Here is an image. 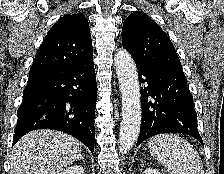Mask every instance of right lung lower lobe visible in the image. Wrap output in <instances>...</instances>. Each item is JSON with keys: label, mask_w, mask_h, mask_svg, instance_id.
<instances>
[{"label": "right lung lower lobe", "mask_w": 224, "mask_h": 174, "mask_svg": "<svg viewBox=\"0 0 224 174\" xmlns=\"http://www.w3.org/2000/svg\"><path fill=\"white\" fill-rule=\"evenodd\" d=\"M96 98L93 59L29 76L13 145L29 131L48 128L72 135L93 152Z\"/></svg>", "instance_id": "right-lung-lower-lobe-1"}]
</instances>
